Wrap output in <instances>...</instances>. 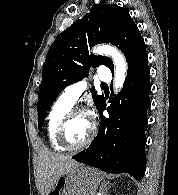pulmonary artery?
Returning a JSON list of instances; mask_svg holds the SVG:
<instances>
[{
	"label": "pulmonary artery",
	"mask_w": 178,
	"mask_h": 195,
	"mask_svg": "<svg viewBox=\"0 0 178 195\" xmlns=\"http://www.w3.org/2000/svg\"><path fill=\"white\" fill-rule=\"evenodd\" d=\"M97 76L98 79L103 83V84H108L111 81V75H110V70L107 66H100L97 69ZM88 87V81L87 79H83L80 81H77L69 86H67L62 94L61 97L68 103L74 105L82 93L87 89Z\"/></svg>",
	"instance_id": "pulmonary-artery-1"
}]
</instances>
